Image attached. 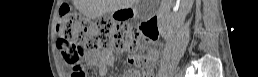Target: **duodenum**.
Segmentation results:
<instances>
[{
	"instance_id": "410a0bca",
	"label": "duodenum",
	"mask_w": 258,
	"mask_h": 77,
	"mask_svg": "<svg viewBox=\"0 0 258 77\" xmlns=\"http://www.w3.org/2000/svg\"><path fill=\"white\" fill-rule=\"evenodd\" d=\"M146 27L152 30H155V36L157 35V21L156 19L149 21L148 23H146Z\"/></svg>"
}]
</instances>
